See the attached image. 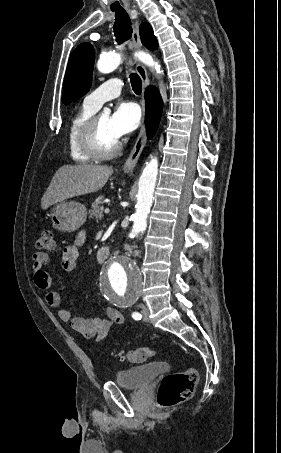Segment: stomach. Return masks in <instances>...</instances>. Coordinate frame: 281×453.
I'll use <instances>...</instances> for the list:
<instances>
[{
    "label": "stomach",
    "mask_w": 281,
    "mask_h": 453,
    "mask_svg": "<svg viewBox=\"0 0 281 453\" xmlns=\"http://www.w3.org/2000/svg\"><path fill=\"white\" fill-rule=\"evenodd\" d=\"M54 229L60 233H74L82 227L87 218V208L81 202H59L50 210Z\"/></svg>",
    "instance_id": "obj_1"
}]
</instances>
